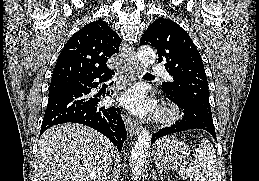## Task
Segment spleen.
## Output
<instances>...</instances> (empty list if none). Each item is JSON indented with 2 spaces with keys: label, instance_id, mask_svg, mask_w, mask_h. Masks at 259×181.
Returning <instances> with one entry per match:
<instances>
[{
  "label": "spleen",
  "instance_id": "spleen-1",
  "mask_svg": "<svg viewBox=\"0 0 259 181\" xmlns=\"http://www.w3.org/2000/svg\"><path fill=\"white\" fill-rule=\"evenodd\" d=\"M192 164L186 168V174L193 181H217V159L210 141L203 139L193 154Z\"/></svg>",
  "mask_w": 259,
  "mask_h": 181
}]
</instances>
